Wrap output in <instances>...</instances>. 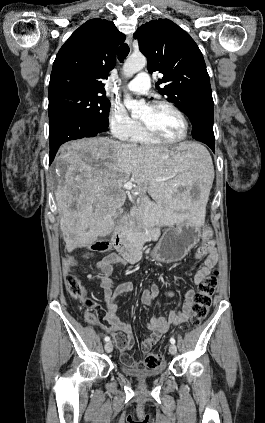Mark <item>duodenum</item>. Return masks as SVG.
Returning a JSON list of instances; mask_svg holds the SVG:
<instances>
[{
    "mask_svg": "<svg viewBox=\"0 0 265 423\" xmlns=\"http://www.w3.org/2000/svg\"><path fill=\"white\" fill-rule=\"evenodd\" d=\"M125 229L126 221L122 220L112 236V244L125 262L136 263L142 257V243L139 239L135 241L128 240L125 236Z\"/></svg>",
    "mask_w": 265,
    "mask_h": 423,
    "instance_id": "obj_1",
    "label": "duodenum"
}]
</instances>
